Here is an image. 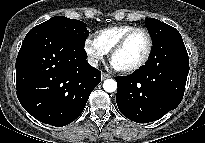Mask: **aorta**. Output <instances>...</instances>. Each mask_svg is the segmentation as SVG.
Listing matches in <instances>:
<instances>
[{
    "mask_svg": "<svg viewBox=\"0 0 205 143\" xmlns=\"http://www.w3.org/2000/svg\"><path fill=\"white\" fill-rule=\"evenodd\" d=\"M103 89L106 91V92H109V93H112V92H115L116 89H117V83L114 79H106L104 82H103Z\"/></svg>",
    "mask_w": 205,
    "mask_h": 143,
    "instance_id": "1",
    "label": "aorta"
}]
</instances>
